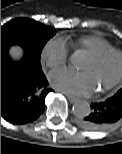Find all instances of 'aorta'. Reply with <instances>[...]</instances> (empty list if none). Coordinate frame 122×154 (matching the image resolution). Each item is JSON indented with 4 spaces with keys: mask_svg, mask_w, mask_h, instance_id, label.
<instances>
[{
    "mask_svg": "<svg viewBox=\"0 0 122 154\" xmlns=\"http://www.w3.org/2000/svg\"><path fill=\"white\" fill-rule=\"evenodd\" d=\"M75 60V55H72L70 58L71 63L74 64ZM73 113L75 116L80 118L87 116L90 113L89 103L85 100L76 101L73 105Z\"/></svg>",
    "mask_w": 122,
    "mask_h": 154,
    "instance_id": "obj_1",
    "label": "aorta"
}]
</instances>
